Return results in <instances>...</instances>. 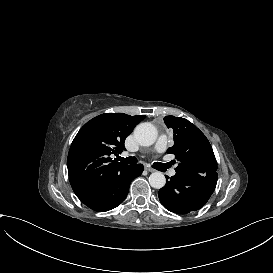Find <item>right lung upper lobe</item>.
<instances>
[{
	"label": "right lung upper lobe",
	"instance_id": "obj_1",
	"mask_svg": "<svg viewBox=\"0 0 273 273\" xmlns=\"http://www.w3.org/2000/svg\"><path fill=\"white\" fill-rule=\"evenodd\" d=\"M145 118L105 113L88 121L75 136L67 158L73 191L82 202L98 195L107 180L129 165L112 161L111 154L125 150V138Z\"/></svg>",
	"mask_w": 273,
	"mask_h": 273
}]
</instances>
